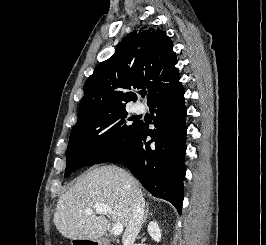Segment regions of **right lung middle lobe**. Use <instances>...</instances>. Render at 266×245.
Segmentation results:
<instances>
[{"label":"right lung middle lobe","instance_id":"obj_1","mask_svg":"<svg viewBox=\"0 0 266 245\" xmlns=\"http://www.w3.org/2000/svg\"><path fill=\"white\" fill-rule=\"evenodd\" d=\"M125 108L87 116L74 125L66 152L65 177L75 170L108 162L131 144L138 122L128 123Z\"/></svg>","mask_w":266,"mask_h":245}]
</instances>
